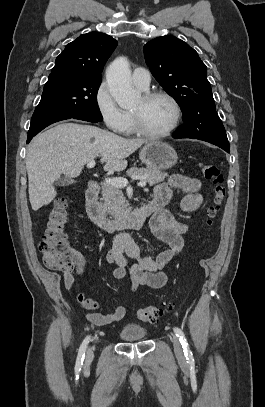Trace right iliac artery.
<instances>
[{"label":"right iliac artery","mask_w":265,"mask_h":407,"mask_svg":"<svg viewBox=\"0 0 265 407\" xmlns=\"http://www.w3.org/2000/svg\"><path fill=\"white\" fill-rule=\"evenodd\" d=\"M89 339H90L89 336L86 337L84 339V341L82 342L80 348H79V352H78V356H77V360H76V365H75V370L76 371L81 370V366L83 365V360H84L87 345L89 343Z\"/></svg>","instance_id":"obj_1"}]
</instances>
